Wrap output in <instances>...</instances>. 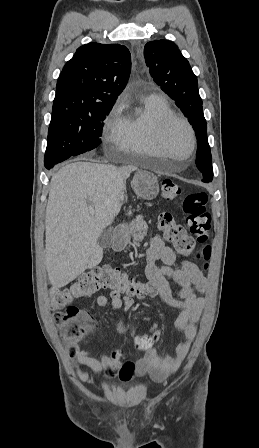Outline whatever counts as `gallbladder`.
<instances>
[{"label":"gallbladder","mask_w":259,"mask_h":448,"mask_svg":"<svg viewBox=\"0 0 259 448\" xmlns=\"http://www.w3.org/2000/svg\"><path fill=\"white\" fill-rule=\"evenodd\" d=\"M113 228H109V230H104L101 236H99L97 242L100 248H111L113 244Z\"/></svg>","instance_id":"bac80fb5"}]
</instances>
